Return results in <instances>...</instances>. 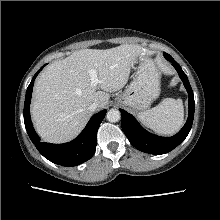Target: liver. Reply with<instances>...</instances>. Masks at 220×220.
<instances>
[{
  "label": "liver",
  "mask_w": 220,
  "mask_h": 220,
  "mask_svg": "<svg viewBox=\"0 0 220 220\" xmlns=\"http://www.w3.org/2000/svg\"><path fill=\"white\" fill-rule=\"evenodd\" d=\"M146 52L135 44L105 50L81 49L50 64L33 91L31 115L38 134L52 143L77 136L92 115L89 105L96 102L98 109H103L110 93L126 85L135 58ZM91 69L97 70L96 86L91 84Z\"/></svg>",
  "instance_id": "liver-1"
}]
</instances>
